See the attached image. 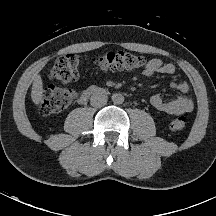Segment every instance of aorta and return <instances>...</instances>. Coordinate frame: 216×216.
Segmentation results:
<instances>
[{
    "mask_svg": "<svg viewBox=\"0 0 216 216\" xmlns=\"http://www.w3.org/2000/svg\"><path fill=\"white\" fill-rule=\"evenodd\" d=\"M112 101L114 104H122L124 102V96L121 93H115L112 95Z\"/></svg>",
    "mask_w": 216,
    "mask_h": 216,
    "instance_id": "aorta-1",
    "label": "aorta"
}]
</instances>
